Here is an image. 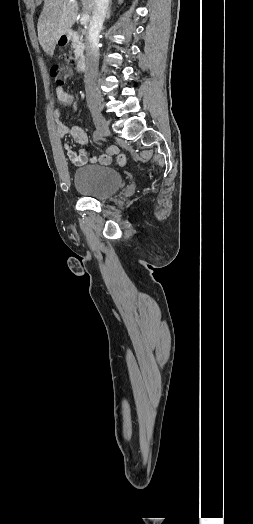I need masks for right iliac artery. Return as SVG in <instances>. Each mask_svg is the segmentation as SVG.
Masks as SVG:
<instances>
[{
	"mask_svg": "<svg viewBox=\"0 0 253 524\" xmlns=\"http://www.w3.org/2000/svg\"><path fill=\"white\" fill-rule=\"evenodd\" d=\"M101 138V134L98 132V130H95L93 133V139L95 142H97Z\"/></svg>",
	"mask_w": 253,
	"mask_h": 524,
	"instance_id": "1",
	"label": "right iliac artery"
}]
</instances>
